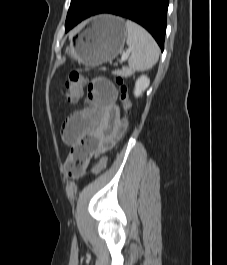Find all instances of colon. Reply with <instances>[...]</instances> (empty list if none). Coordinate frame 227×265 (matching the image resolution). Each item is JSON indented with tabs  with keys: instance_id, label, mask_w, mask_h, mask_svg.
I'll return each mask as SVG.
<instances>
[{
	"instance_id": "colon-1",
	"label": "colon",
	"mask_w": 227,
	"mask_h": 265,
	"mask_svg": "<svg viewBox=\"0 0 227 265\" xmlns=\"http://www.w3.org/2000/svg\"><path fill=\"white\" fill-rule=\"evenodd\" d=\"M87 83V78L80 72L73 71L67 77L64 89L62 91L63 95L69 102H75L82 95L83 88ZM116 83L119 87L120 101L123 106L125 113H129L131 102L128 96V89L121 77L116 78ZM85 155L82 154L78 149L73 148L69 153L65 166L67 171L75 176L85 165ZM108 157L102 156L97 164L92 169L94 175L100 174L107 166Z\"/></svg>"
}]
</instances>
